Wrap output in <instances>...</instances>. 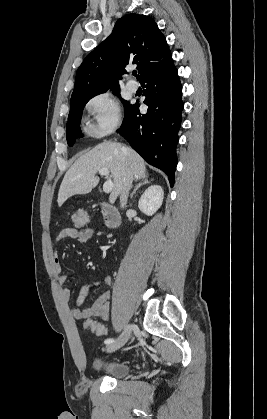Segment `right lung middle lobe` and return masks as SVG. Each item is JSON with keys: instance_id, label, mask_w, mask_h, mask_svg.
Segmentation results:
<instances>
[{"instance_id": "dd1d6c3e", "label": "right lung middle lobe", "mask_w": 267, "mask_h": 419, "mask_svg": "<svg viewBox=\"0 0 267 419\" xmlns=\"http://www.w3.org/2000/svg\"><path fill=\"white\" fill-rule=\"evenodd\" d=\"M113 93L119 96V90H114ZM96 95L85 96L80 99L71 100L70 113L68 116L66 128L67 142L69 146H72L74 144L76 138H80L83 136L79 128V124L82 117V111L86 103ZM122 102L126 111L129 108L130 104L125 100H122Z\"/></svg>"}]
</instances>
